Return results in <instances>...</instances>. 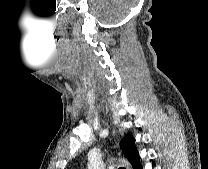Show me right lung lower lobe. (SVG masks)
Returning a JSON list of instances; mask_svg holds the SVG:
<instances>
[{
	"instance_id": "98d812e1",
	"label": "right lung lower lobe",
	"mask_w": 208,
	"mask_h": 169,
	"mask_svg": "<svg viewBox=\"0 0 208 169\" xmlns=\"http://www.w3.org/2000/svg\"><path fill=\"white\" fill-rule=\"evenodd\" d=\"M133 168L134 169H142L140 161Z\"/></svg>"
}]
</instances>
